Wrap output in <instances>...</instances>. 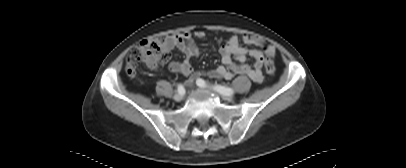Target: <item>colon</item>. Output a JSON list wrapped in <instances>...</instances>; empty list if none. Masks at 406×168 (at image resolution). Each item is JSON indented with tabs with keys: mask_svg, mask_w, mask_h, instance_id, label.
Listing matches in <instances>:
<instances>
[{
	"mask_svg": "<svg viewBox=\"0 0 406 168\" xmlns=\"http://www.w3.org/2000/svg\"><path fill=\"white\" fill-rule=\"evenodd\" d=\"M262 47L264 51H268L269 47L266 44H263ZM169 56L165 39L158 36L149 37L131 49L126 60V72L128 75L133 76L139 63L155 66L167 62ZM264 66L269 75L275 73V64L271 58H265Z\"/></svg>",
	"mask_w": 406,
	"mask_h": 168,
	"instance_id": "5ec220e1",
	"label": "colon"
}]
</instances>
